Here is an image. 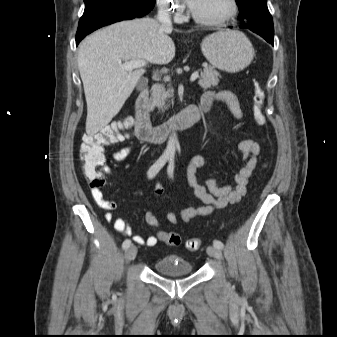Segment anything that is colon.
Masks as SVG:
<instances>
[{"label": "colon", "mask_w": 337, "mask_h": 337, "mask_svg": "<svg viewBox=\"0 0 337 337\" xmlns=\"http://www.w3.org/2000/svg\"><path fill=\"white\" fill-rule=\"evenodd\" d=\"M265 101V91L261 82H253L252 93V112L255 123L259 126L266 124V118L263 112ZM130 122H118L102 128L98 132L88 133L82 136L79 147V156L82 162V169L85 178L92 187H101L105 179L102 167L106 158L104 149L121 141L125 136V131L129 129ZM160 240L170 246H178L182 243V237L176 232L160 231L158 233ZM185 247L190 251H196L201 246L199 238H189L185 242Z\"/></svg>", "instance_id": "5ec220e1"}]
</instances>
